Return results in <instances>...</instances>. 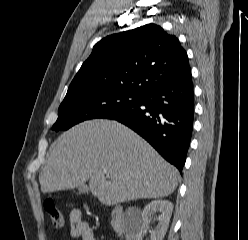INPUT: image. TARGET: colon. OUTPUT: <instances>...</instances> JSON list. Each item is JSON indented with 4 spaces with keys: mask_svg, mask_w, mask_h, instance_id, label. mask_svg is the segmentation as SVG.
Masks as SVG:
<instances>
[{
    "mask_svg": "<svg viewBox=\"0 0 248 240\" xmlns=\"http://www.w3.org/2000/svg\"><path fill=\"white\" fill-rule=\"evenodd\" d=\"M44 207L47 213L49 214L53 225L56 228H64L66 226L65 214L62 210L57 207V205L53 201H46Z\"/></svg>",
    "mask_w": 248,
    "mask_h": 240,
    "instance_id": "1",
    "label": "colon"
}]
</instances>
